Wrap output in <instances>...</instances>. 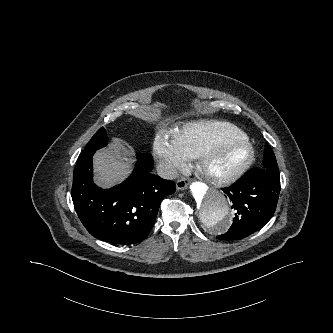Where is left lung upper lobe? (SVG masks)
Instances as JSON below:
<instances>
[{
  "label": "left lung upper lobe",
  "mask_w": 333,
  "mask_h": 333,
  "mask_svg": "<svg viewBox=\"0 0 333 333\" xmlns=\"http://www.w3.org/2000/svg\"><path fill=\"white\" fill-rule=\"evenodd\" d=\"M260 168L273 174H279L278 165L273 152H264L263 164Z\"/></svg>",
  "instance_id": "1"
}]
</instances>
